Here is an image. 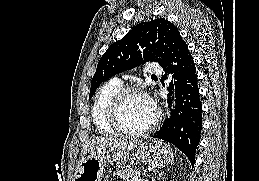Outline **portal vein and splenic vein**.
Returning a JSON list of instances; mask_svg holds the SVG:
<instances>
[{"instance_id":"portal-vein-and-splenic-vein-1","label":"portal vein and splenic vein","mask_w":259,"mask_h":181,"mask_svg":"<svg viewBox=\"0 0 259 181\" xmlns=\"http://www.w3.org/2000/svg\"><path fill=\"white\" fill-rule=\"evenodd\" d=\"M131 181H142V180H139L138 178H133Z\"/></svg>"}]
</instances>
